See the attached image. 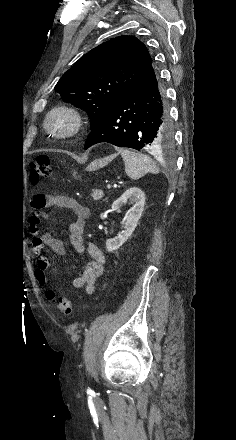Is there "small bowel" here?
<instances>
[{
    "label": "small bowel",
    "mask_w": 236,
    "mask_h": 440,
    "mask_svg": "<svg viewBox=\"0 0 236 440\" xmlns=\"http://www.w3.org/2000/svg\"><path fill=\"white\" fill-rule=\"evenodd\" d=\"M33 218L36 221H45L47 214L45 208L67 210L75 215V220L70 224V241L73 248L79 252H86L89 260L82 273L70 281V286L75 289L83 288L85 293L91 295L95 290L96 280L103 274L106 263L105 256L100 248L92 242L85 241V220L89 216V209L80 204L75 198L67 195L52 196L36 194L31 199ZM33 236L32 247L36 253L35 278L41 287L47 284L45 271L49 266L48 258L43 251L50 250L57 255L65 254L64 243L49 232L39 230L36 223L29 227Z\"/></svg>",
    "instance_id": "small-bowel-1"
}]
</instances>
